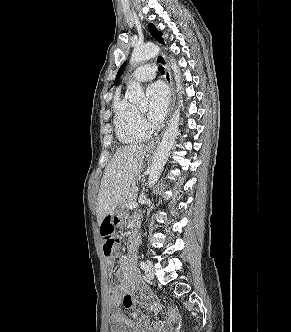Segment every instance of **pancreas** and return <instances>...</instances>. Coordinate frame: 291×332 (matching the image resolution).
<instances>
[{
    "label": "pancreas",
    "instance_id": "pancreas-1",
    "mask_svg": "<svg viewBox=\"0 0 291 332\" xmlns=\"http://www.w3.org/2000/svg\"><path fill=\"white\" fill-rule=\"evenodd\" d=\"M138 189L135 187H129L121 196L119 204L125 208L128 207L130 203L135 202L137 198Z\"/></svg>",
    "mask_w": 291,
    "mask_h": 332
}]
</instances>
